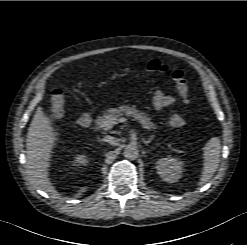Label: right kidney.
<instances>
[{
	"instance_id": "ca27d5eb",
	"label": "right kidney",
	"mask_w": 247,
	"mask_h": 245,
	"mask_svg": "<svg viewBox=\"0 0 247 245\" xmlns=\"http://www.w3.org/2000/svg\"><path fill=\"white\" fill-rule=\"evenodd\" d=\"M88 163V159L86 155L81 154L77 155L74 159V165L79 166V165H86Z\"/></svg>"
}]
</instances>
